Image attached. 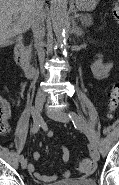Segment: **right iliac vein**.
I'll return each mask as SVG.
<instances>
[{"label":"right iliac vein","instance_id":"1","mask_svg":"<svg viewBox=\"0 0 119 185\" xmlns=\"http://www.w3.org/2000/svg\"><path fill=\"white\" fill-rule=\"evenodd\" d=\"M43 104H44V101L40 98H38L36 101H35V106H34V113H40V121L42 123V116H41V111H42V108H43ZM35 125H41V124H35ZM27 164H28V161L26 158H24L22 161H21V167L23 169H26L27 168Z\"/></svg>","mask_w":119,"mask_h":185}]
</instances>
